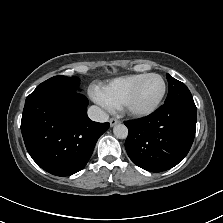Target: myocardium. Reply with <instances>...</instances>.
Listing matches in <instances>:
<instances>
[{
	"label": "myocardium",
	"instance_id": "1",
	"mask_svg": "<svg viewBox=\"0 0 223 223\" xmlns=\"http://www.w3.org/2000/svg\"><path fill=\"white\" fill-rule=\"evenodd\" d=\"M150 76H157L161 79L162 82V91L158 97V99L155 101V103L148 109L145 110H137L131 107V102L133 98L135 97L139 86L143 82V80ZM166 93V83L163 79V77L157 73H147L143 75V77L135 84V86L131 89V91L126 95L124 100L122 101L121 106L119 107L118 113L121 116H127V117H133V118H144L152 115L157 111L159 108L164 96Z\"/></svg>",
	"mask_w": 223,
	"mask_h": 223
}]
</instances>
